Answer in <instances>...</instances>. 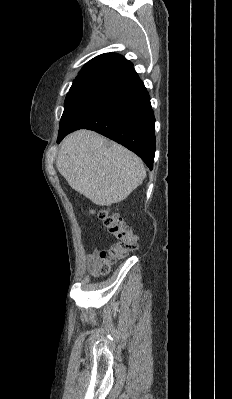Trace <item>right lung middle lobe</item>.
Listing matches in <instances>:
<instances>
[{"instance_id":"dd1d6c3e","label":"right lung middle lobe","mask_w":232,"mask_h":399,"mask_svg":"<svg viewBox=\"0 0 232 399\" xmlns=\"http://www.w3.org/2000/svg\"><path fill=\"white\" fill-rule=\"evenodd\" d=\"M97 83H99V82L95 81V80H74L73 84L70 88V91L66 96L65 103H67L68 101H70L74 98H77L84 91L95 86Z\"/></svg>"}]
</instances>
